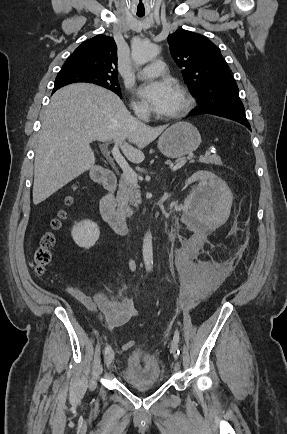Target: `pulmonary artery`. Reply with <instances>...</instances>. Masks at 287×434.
<instances>
[{
	"label": "pulmonary artery",
	"mask_w": 287,
	"mask_h": 434,
	"mask_svg": "<svg viewBox=\"0 0 287 434\" xmlns=\"http://www.w3.org/2000/svg\"><path fill=\"white\" fill-rule=\"evenodd\" d=\"M165 72V63L161 60H155L150 65L144 67L138 72V77L141 79L151 78L163 75Z\"/></svg>",
	"instance_id": "1"
}]
</instances>
